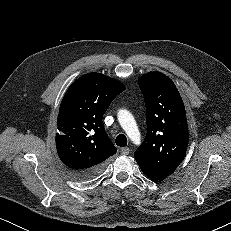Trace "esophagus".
<instances>
[{"instance_id": "34e87169", "label": "esophagus", "mask_w": 231, "mask_h": 231, "mask_svg": "<svg viewBox=\"0 0 231 231\" xmlns=\"http://www.w3.org/2000/svg\"><path fill=\"white\" fill-rule=\"evenodd\" d=\"M122 155H128L130 153V149L125 147L120 150Z\"/></svg>"}]
</instances>
